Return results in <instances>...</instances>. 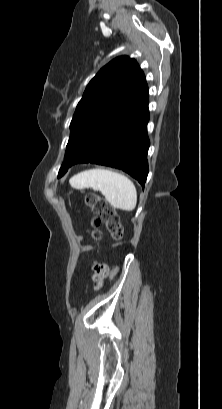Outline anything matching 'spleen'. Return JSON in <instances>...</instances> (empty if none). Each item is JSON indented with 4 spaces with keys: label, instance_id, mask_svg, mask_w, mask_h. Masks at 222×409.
<instances>
[{
    "label": "spleen",
    "instance_id": "1",
    "mask_svg": "<svg viewBox=\"0 0 222 409\" xmlns=\"http://www.w3.org/2000/svg\"><path fill=\"white\" fill-rule=\"evenodd\" d=\"M70 185L75 189L92 188L101 192L114 208L132 211L137 204L133 182L123 174L107 169H90L74 175Z\"/></svg>",
    "mask_w": 222,
    "mask_h": 409
}]
</instances>
